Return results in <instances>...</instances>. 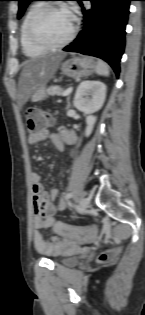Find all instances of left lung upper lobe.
Wrapping results in <instances>:
<instances>
[{"mask_svg": "<svg viewBox=\"0 0 145 315\" xmlns=\"http://www.w3.org/2000/svg\"><path fill=\"white\" fill-rule=\"evenodd\" d=\"M16 1H19L18 18H21L28 4L34 0H16Z\"/></svg>", "mask_w": 145, "mask_h": 315, "instance_id": "obj_1", "label": "left lung upper lobe"}]
</instances>
